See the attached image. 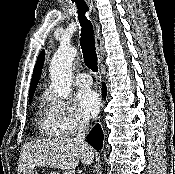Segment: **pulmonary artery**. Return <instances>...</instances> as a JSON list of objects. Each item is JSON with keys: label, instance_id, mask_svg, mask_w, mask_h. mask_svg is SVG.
<instances>
[{"label": "pulmonary artery", "instance_id": "1", "mask_svg": "<svg viewBox=\"0 0 175 174\" xmlns=\"http://www.w3.org/2000/svg\"><path fill=\"white\" fill-rule=\"evenodd\" d=\"M75 82L80 87H89L92 85V79L86 72H80L75 77Z\"/></svg>", "mask_w": 175, "mask_h": 174}]
</instances>
